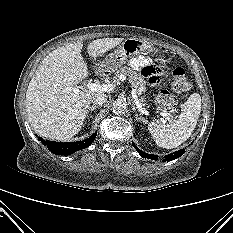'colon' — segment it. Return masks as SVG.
Masks as SVG:
<instances>
[{
    "label": "colon",
    "mask_w": 233,
    "mask_h": 233,
    "mask_svg": "<svg viewBox=\"0 0 233 233\" xmlns=\"http://www.w3.org/2000/svg\"><path fill=\"white\" fill-rule=\"evenodd\" d=\"M172 88L176 92H184L189 88L188 78L186 76L184 69L181 67H177L173 70ZM156 102L158 108L164 111L173 109L177 104V100L175 96L166 90H163L159 93Z\"/></svg>",
    "instance_id": "5ec220e1"
}]
</instances>
